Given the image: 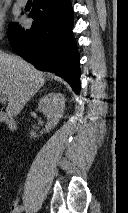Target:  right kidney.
Instances as JSON below:
<instances>
[{"label":"right kidney","mask_w":128,"mask_h":213,"mask_svg":"<svg viewBox=\"0 0 128 213\" xmlns=\"http://www.w3.org/2000/svg\"><path fill=\"white\" fill-rule=\"evenodd\" d=\"M38 110L46 114L48 120L44 130L40 132L42 135L52 130L63 117L65 110V98L63 94L54 92L46 94L39 100ZM30 135L31 138L38 137L34 131H31Z\"/></svg>","instance_id":"right-kidney-1"}]
</instances>
